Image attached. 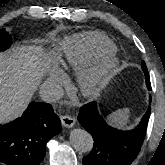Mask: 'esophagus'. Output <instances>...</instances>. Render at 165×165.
Returning <instances> with one entry per match:
<instances>
[{"label": "esophagus", "instance_id": "obj_1", "mask_svg": "<svg viewBox=\"0 0 165 165\" xmlns=\"http://www.w3.org/2000/svg\"><path fill=\"white\" fill-rule=\"evenodd\" d=\"M61 123L66 128H71L75 125L76 119L73 116H61Z\"/></svg>", "mask_w": 165, "mask_h": 165}]
</instances>
